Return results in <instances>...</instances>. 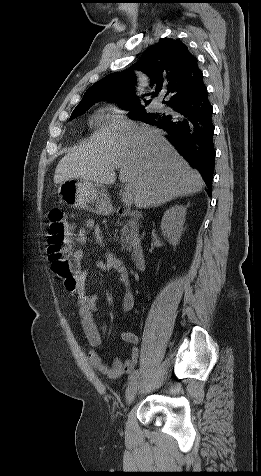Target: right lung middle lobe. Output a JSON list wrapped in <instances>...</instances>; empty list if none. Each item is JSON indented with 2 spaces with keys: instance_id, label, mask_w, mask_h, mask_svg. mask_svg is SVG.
I'll use <instances>...</instances> for the list:
<instances>
[{
  "instance_id": "1",
  "label": "right lung middle lobe",
  "mask_w": 261,
  "mask_h": 476,
  "mask_svg": "<svg viewBox=\"0 0 261 476\" xmlns=\"http://www.w3.org/2000/svg\"><path fill=\"white\" fill-rule=\"evenodd\" d=\"M90 106L91 105H83V106H79V107L75 108L74 111L71 114L70 119H73L77 116H80ZM124 108H126V107H124ZM126 109L133 110L132 112L129 113V116L131 118L136 119V120H140V121H143V122H146V123L154 122L157 119H161V118L165 117L164 113L163 114L162 113H147L144 110L143 106H138V107H133V108H126Z\"/></svg>"
}]
</instances>
